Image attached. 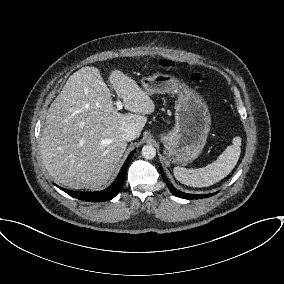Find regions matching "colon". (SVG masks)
Instances as JSON below:
<instances>
[{"mask_svg":"<svg viewBox=\"0 0 284 284\" xmlns=\"http://www.w3.org/2000/svg\"><path fill=\"white\" fill-rule=\"evenodd\" d=\"M158 64L162 68H171L173 67L174 63L168 59H160ZM190 81L194 84H201L204 80V77L200 73H193L190 75Z\"/></svg>","mask_w":284,"mask_h":284,"instance_id":"obj_1","label":"colon"}]
</instances>
